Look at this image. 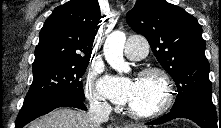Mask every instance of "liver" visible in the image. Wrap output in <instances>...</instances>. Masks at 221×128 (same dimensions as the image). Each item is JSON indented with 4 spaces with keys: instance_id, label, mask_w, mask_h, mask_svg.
I'll return each instance as SVG.
<instances>
[{
    "instance_id": "obj_1",
    "label": "liver",
    "mask_w": 221,
    "mask_h": 128,
    "mask_svg": "<svg viewBox=\"0 0 221 128\" xmlns=\"http://www.w3.org/2000/svg\"><path fill=\"white\" fill-rule=\"evenodd\" d=\"M28 128H99V124L93 123L88 113L59 108L32 122ZM130 128L146 127L131 125Z\"/></svg>"
}]
</instances>
